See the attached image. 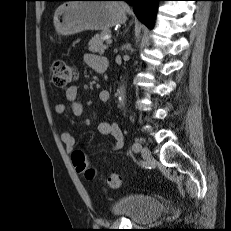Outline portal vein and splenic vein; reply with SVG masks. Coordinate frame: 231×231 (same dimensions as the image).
<instances>
[{
    "label": "portal vein and splenic vein",
    "mask_w": 231,
    "mask_h": 231,
    "mask_svg": "<svg viewBox=\"0 0 231 231\" xmlns=\"http://www.w3.org/2000/svg\"><path fill=\"white\" fill-rule=\"evenodd\" d=\"M107 44H111L112 43V39L111 38H109V39H107Z\"/></svg>",
    "instance_id": "1"
}]
</instances>
